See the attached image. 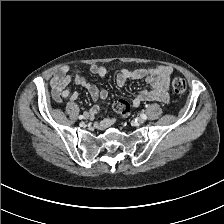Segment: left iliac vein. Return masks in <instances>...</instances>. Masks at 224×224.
I'll list each match as a JSON object with an SVG mask.
<instances>
[{"label":"left iliac vein","instance_id":"obj_1","mask_svg":"<svg viewBox=\"0 0 224 224\" xmlns=\"http://www.w3.org/2000/svg\"><path fill=\"white\" fill-rule=\"evenodd\" d=\"M145 122V119H143L142 117L138 118V123L139 124H143Z\"/></svg>","mask_w":224,"mask_h":224}]
</instances>
